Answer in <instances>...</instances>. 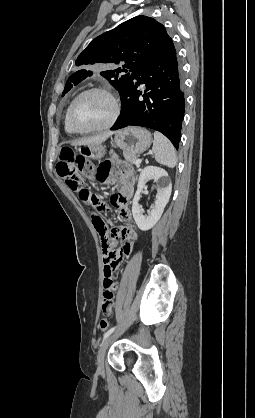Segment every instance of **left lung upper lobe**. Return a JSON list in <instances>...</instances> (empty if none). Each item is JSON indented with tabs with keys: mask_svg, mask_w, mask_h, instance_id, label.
<instances>
[{
	"mask_svg": "<svg viewBox=\"0 0 255 418\" xmlns=\"http://www.w3.org/2000/svg\"><path fill=\"white\" fill-rule=\"evenodd\" d=\"M170 40L162 24L150 17L137 16L95 38L78 56L75 65L86 68L108 65L109 68L100 74L121 94L132 72L151 55L163 49ZM92 75L90 69L72 74L62 96L73 85Z\"/></svg>",
	"mask_w": 255,
	"mask_h": 418,
	"instance_id": "left-lung-upper-lobe-1",
	"label": "left lung upper lobe"
}]
</instances>
